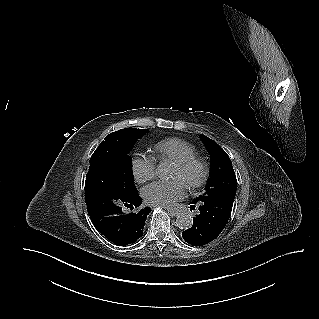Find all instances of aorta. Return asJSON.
<instances>
[{"mask_svg":"<svg viewBox=\"0 0 319 319\" xmlns=\"http://www.w3.org/2000/svg\"><path fill=\"white\" fill-rule=\"evenodd\" d=\"M156 173L159 177H162L164 175L163 169L161 167H158L156 169ZM193 219L190 213L188 212H182L177 216L176 219V225L180 229H189L192 227Z\"/></svg>","mask_w":319,"mask_h":319,"instance_id":"762f6f07","label":"aorta"}]
</instances>
